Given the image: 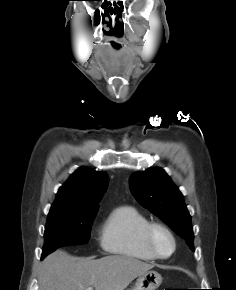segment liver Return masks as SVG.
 I'll list each match as a JSON object with an SVG mask.
<instances>
[{
    "label": "liver",
    "mask_w": 236,
    "mask_h": 290,
    "mask_svg": "<svg viewBox=\"0 0 236 290\" xmlns=\"http://www.w3.org/2000/svg\"><path fill=\"white\" fill-rule=\"evenodd\" d=\"M153 267L133 257L111 255L94 260L57 250L41 264L39 290H124Z\"/></svg>",
    "instance_id": "obj_1"
}]
</instances>
